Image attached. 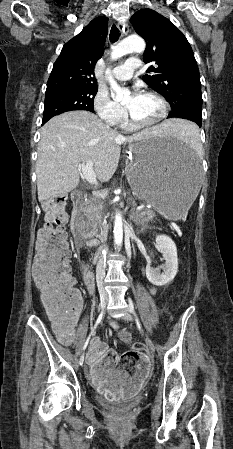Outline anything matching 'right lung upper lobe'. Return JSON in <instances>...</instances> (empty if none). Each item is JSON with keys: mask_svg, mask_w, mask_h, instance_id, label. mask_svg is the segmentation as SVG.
Segmentation results:
<instances>
[{"mask_svg": "<svg viewBox=\"0 0 233 449\" xmlns=\"http://www.w3.org/2000/svg\"><path fill=\"white\" fill-rule=\"evenodd\" d=\"M107 22L106 17L95 18L63 46L48 79L46 93L60 89L97 87L94 67L103 54Z\"/></svg>", "mask_w": 233, "mask_h": 449, "instance_id": "obj_1", "label": "right lung upper lobe"}]
</instances>
